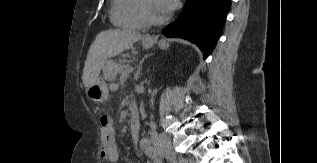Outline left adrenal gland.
<instances>
[{
  "instance_id": "left-adrenal-gland-1",
  "label": "left adrenal gland",
  "mask_w": 317,
  "mask_h": 163,
  "mask_svg": "<svg viewBox=\"0 0 317 163\" xmlns=\"http://www.w3.org/2000/svg\"><path fill=\"white\" fill-rule=\"evenodd\" d=\"M140 70H141V69H139L138 72H137V74H139V75H140Z\"/></svg>"
}]
</instances>
